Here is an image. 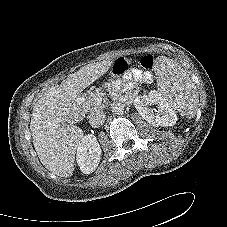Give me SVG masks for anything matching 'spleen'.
<instances>
[{
  "label": "spleen",
  "instance_id": "spleen-1",
  "mask_svg": "<svg viewBox=\"0 0 227 227\" xmlns=\"http://www.w3.org/2000/svg\"><path fill=\"white\" fill-rule=\"evenodd\" d=\"M156 78L159 94L181 115L193 118L199 103L196 87L187 73L167 57L158 58Z\"/></svg>",
  "mask_w": 227,
  "mask_h": 227
}]
</instances>
